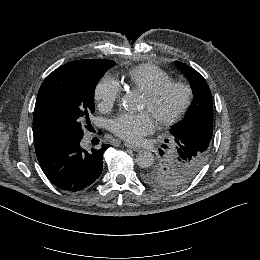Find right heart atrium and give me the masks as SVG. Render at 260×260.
<instances>
[{
	"mask_svg": "<svg viewBox=\"0 0 260 260\" xmlns=\"http://www.w3.org/2000/svg\"><path fill=\"white\" fill-rule=\"evenodd\" d=\"M120 94L118 82L110 76L101 78L94 89V99L104 111L110 110L118 102Z\"/></svg>",
	"mask_w": 260,
	"mask_h": 260,
	"instance_id": "obj_1",
	"label": "right heart atrium"
}]
</instances>
